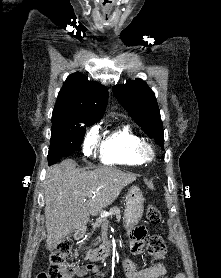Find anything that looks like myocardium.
Segmentation results:
<instances>
[{
	"instance_id": "1",
	"label": "myocardium",
	"mask_w": 221,
	"mask_h": 278,
	"mask_svg": "<svg viewBox=\"0 0 221 278\" xmlns=\"http://www.w3.org/2000/svg\"><path fill=\"white\" fill-rule=\"evenodd\" d=\"M136 155L142 162H151L155 158V148L154 146L146 141L141 139L135 149Z\"/></svg>"
}]
</instances>
